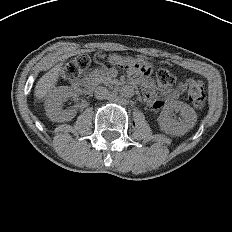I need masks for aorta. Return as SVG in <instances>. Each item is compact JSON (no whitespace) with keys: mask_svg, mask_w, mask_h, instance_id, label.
<instances>
[{"mask_svg":"<svg viewBox=\"0 0 232 232\" xmlns=\"http://www.w3.org/2000/svg\"><path fill=\"white\" fill-rule=\"evenodd\" d=\"M134 94H135V91L132 86L125 85V86H122L120 89V95L125 99L132 98Z\"/></svg>","mask_w":232,"mask_h":232,"instance_id":"1","label":"aorta"}]
</instances>
